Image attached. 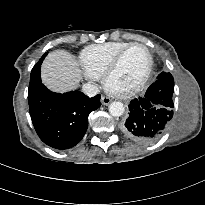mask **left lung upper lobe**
I'll return each instance as SVG.
<instances>
[{"label":"left lung upper lobe","mask_w":205,"mask_h":205,"mask_svg":"<svg viewBox=\"0 0 205 205\" xmlns=\"http://www.w3.org/2000/svg\"><path fill=\"white\" fill-rule=\"evenodd\" d=\"M164 89L170 94V99L172 100V95L174 91V79L170 73L162 72L158 75L157 80L150 85L148 89ZM147 89V91H148Z\"/></svg>","instance_id":"obj_1"}]
</instances>
